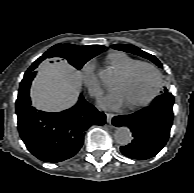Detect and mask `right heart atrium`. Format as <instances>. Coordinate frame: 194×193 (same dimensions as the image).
I'll return each mask as SVG.
<instances>
[{"mask_svg": "<svg viewBox=\"0 0 194 193\" xmlns=\"http://www.w3.org/2000/svg\"><path fill=\"white\" fill-rule=\"evenodd\" d=\"M83 80L92 96L98 97L102 93V86L95 72V65L88 61L82 67Z\"/></svg>", "mask_w": 194, "mask_h": 193, "instance_id": "d8ad5b80", "label": "right heart atrium"}]
</instances>
